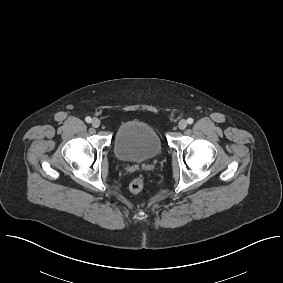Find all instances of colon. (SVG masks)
<instances>
[{"instance_id": "1", "label": "colon", "mask_w": 283, "mask_h": 283, "mask_svg": "<svg viewBox=\"0 0 283 283\" xmlns=\"http://www.w3.org/2000/svg\"><path fill=\"white\" fill-rule=\"evenodd\" d=\"M145 188V181L142 177H136L134 178L130 184L129 189L132 193H140Z\"/></svg>"}]
</instances>
